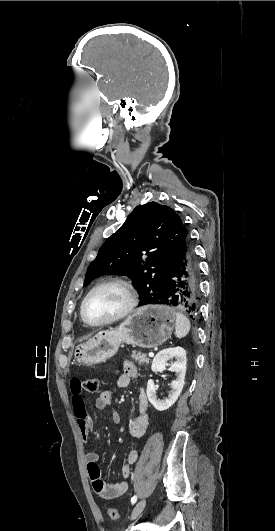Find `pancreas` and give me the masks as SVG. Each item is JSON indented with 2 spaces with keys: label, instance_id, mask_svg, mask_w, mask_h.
<instances>
[{
  "label": "pancreas",
  "instance_id": "obj_1",
  "mask_svg": "<svg viewBox=\"0 0 275 531\" xmlns=\"http://www.w3.org/2000/svg\"><path fill=\"white\" fill-rule=\"evenodd\" d=\"M131 359H135L137 361L138 365H149L151 359H148L147 355L145 353H137V351H132L130 355Z\"/></svg>",
  "mask_w": 275,
  "mask_h": 531
}]
</instances>
